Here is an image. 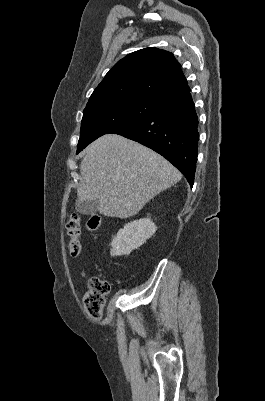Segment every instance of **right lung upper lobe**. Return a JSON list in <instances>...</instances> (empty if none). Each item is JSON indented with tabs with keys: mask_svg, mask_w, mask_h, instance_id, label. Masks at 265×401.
<instances>
[{
	"mask_svg": "<svg viewBox=\"0 0 265 401\" xmlns=\"http://www.w3.org/2000/svg\"><path fill=\"white\" fill-rule=\"evenodd\" d=\"M189 93L181 65L173 54L149 47L117 62L94 90L86 106L128 99L163 104Z\"/></svg>",
	"mask_w": 265,
	"mask_h": 401,
	"instance_id": "cb5924a9",
	"label": "right lung upper lobe"
}]
</instances>
